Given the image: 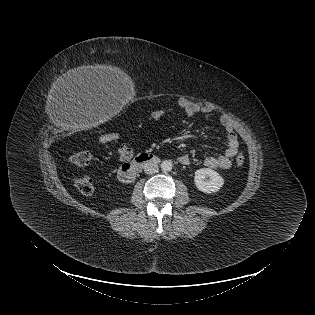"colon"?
I'll use <instances>...</instances> for the list:
<instances>
[{"label":"colon","mask_w":315,"mask_h":315,"mask_svg":"<svg viewBox=\"0 0 315 315\" xmlns=\"http://www.w3.org/2000/svg\"><path fill=\"white\" fill-rule=\"evenodd\" d=\"M100 141L103 143L111 142L117 139L115 134H104L100 136ZM91 153L87 150L77 151L71 155V162L77 167H87L91 161ZM245 162L243 154H238L235 159L237 166H242ZM75 187L84 195H90L94 191L93 179L90 176L84 175L74 179Z\"/></svg>","instance_id":"obj_1"}]
</instances>
